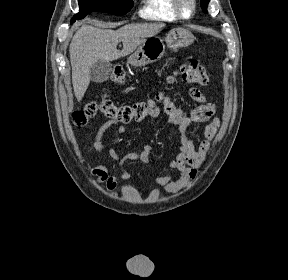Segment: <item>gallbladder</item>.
<instances>
[{"label":"gallbladder","mask_w":288,"mask_h":280,"mask_svg":"<svg viewBox=\"0 0 288 280\" xmlns=\"http://www.w3.org/2000/svg\"><path fill=\"white\" fill-rule=\"evenodd\" d=\"M112 73V64L110 62L98 60L90 68V79L94 82L101 83L110 77Z\"/></svg>","instance_id":"1"}]
</instances>
